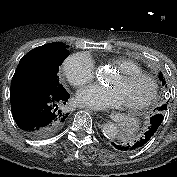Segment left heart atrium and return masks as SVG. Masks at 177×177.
I'll list each match as a JSON object with an SVG mask.
<instances>
[{
  "instance_id": "obj_1",
  "label": "left heart atrium",
  "mask_w": 177,
  "mask_h": 177,
  "mask_svg": "<svg viewBox=\"0 0 177 177\" xmlns=\"http://www.w3.org/2000/svg\"><path fill=\"white\" fill-rule=\"evenodd\" d=\"M77 101L93 109L105 110L123 105V99L118 90L112 87L91 85L77 93Z\"/></svg>"
}]
</instances>
